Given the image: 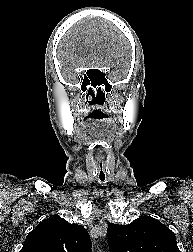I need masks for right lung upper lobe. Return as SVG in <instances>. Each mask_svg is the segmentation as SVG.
<instances>
[{
  "label": "right lung upper lobe",
  "instance_id": "cb5924a9",
  "mask_svg": "<svg viewBox=\"0 0 193 252\" xmlns=\"http://www.w3.org/2000/svg\"><path fill=\"white\" fill-rule=\"evenodd\" d=\"M86 229L58 215L42 221L26 237L20 252H91Z\"/></svg>",
  "mask_w": 193,
  "mask_h": 252
}]
</instances>
